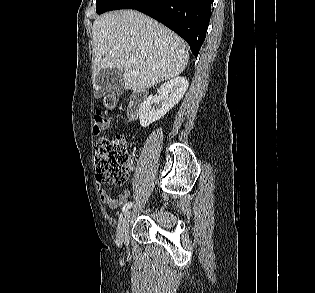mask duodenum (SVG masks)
Returning a JSON list of instances; mask_svg holds the SVG:
<instances>
[{"mask_svg": "<svg viewBox=\"0 0 315 293\" xmlns=\"http://www.w3.org/2000/svg\"><path fill=\"white\" fill-rule=\"evenodd\" d=\"M146 96L145 90H136L131 94L127 107V116L130 120H134L139 116Z\"/></svg>", "mask_w": 315, "mask_h": 293, "instance_id": "1", "label": "duodenum"}]
</instances>
